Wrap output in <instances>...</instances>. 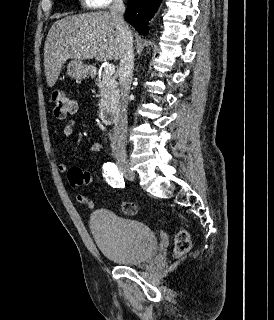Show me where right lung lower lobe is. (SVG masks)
<instances>
[{
	"instance_id": "1",
	"label": "right lung lower lobe",
	"mask_w": 274,
	"mask_h": 320,
	"mask_svg": "<svg viewBox=\"0 0 274 320\" xmlns=\"http://www.w3.org/2000/svg\"><path fill=\"white\" fill-rule=\"evenodd\" d=\"M161 1L162 0H128L124 18L139 34H145L147 33L146 25L157 12Z\"/></svg>"
}]
</instances>
